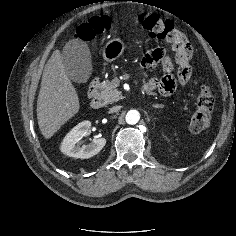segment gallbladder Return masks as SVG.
<instances>
[{"label": "gallbladder", "mask_w": 236, "mask_h": 236, "mask_svg": "<svg viewBox=\"0 0 236 236\" xmlns=\"http://www.w3.org/2000/svg\"><path fill=\"white\" fill-rule=\"evenodd\" d=\"M62 62L67 76L74 82H86L92 73L91 54L81 40L67 42L62 50Z\"/></svg>", "instance_id": "gallbladder-1"}]
</instances>
